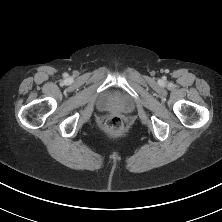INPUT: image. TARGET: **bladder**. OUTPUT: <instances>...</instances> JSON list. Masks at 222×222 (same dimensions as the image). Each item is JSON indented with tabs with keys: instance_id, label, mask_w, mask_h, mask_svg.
Wrapping results in <instances>:
<instances>
[{
	"instance_id": "bladder-1",
	"label": "bladder",
	"mask_w": 222,
	"mask_h": 222,
	"mask_svg": "<svg viewBox=\"0 0 222 222\" xmlns=\"http://www.w3.org/2000/svg\"><path fill=\"white\" fill-rule=\"evenodd\" d=\"M98 104L104 111L129 112L134 107L132 99L122 93H104L99 97Z\"/></svg>"
}]
</instances>
